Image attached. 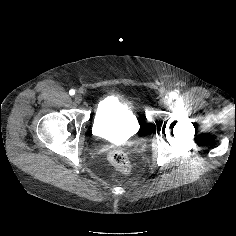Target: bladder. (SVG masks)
Returning a JSON list of instances; mask_svg holds the SVG:
<instances>
[{
	"mask_svg": "<svg viewBox=\"0 0 236 236\" xmlns=\"http://www.w3.org/2000/svg\"><path fill=\"white\" fill-rule=\"evenodd\" d=\"M137 127L130 103L119 98L100 104L93 121L96 135L105 139L132 135Z\"/></svg>",
	"mask_w": 236,
	"mask_h": 236,
	"instance_id": "1",
	"label": "bladder"
}]
</instances>
